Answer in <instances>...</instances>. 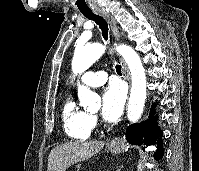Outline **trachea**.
Segmentation results:
<instances>
[{"label": "trachea", "mask_w": 199, "mask_h": 171, "mask_svg": "<svg viewBox=\"0 0 199 171\" xmlns=\"http://www.w3.org/2000/svg\"><path fill=\"white\" fill-rule=\"evenodd\" d=\"M82 14L86 18L93 20L99 26V28L101 29L103 38L107 41V39H108V25H107L106 20L101 15H97L93 12H82ZM115 68H116L117 74L121 75L122 74L121 73V66L116 65Z\"/></svg>", "instance_id": "1"}]
</instances>
